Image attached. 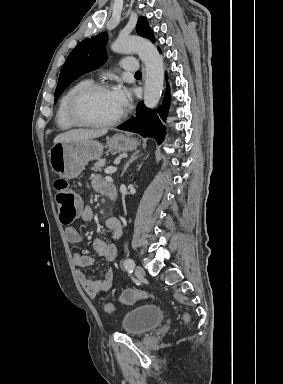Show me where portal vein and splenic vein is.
<instances>
[{
    "mask_svg": "<svg viewBox=\"0 0 283 384\" xmlns=\"http://www.w3.org/2000/svg\"><path fill=\"white\" fill-rule=\"evenodd\" d=\"M104 172L105 174H114V172H117V168H106Z\"/></svg>",
    "mask_w": 283,
    "mask_h": 384,
    "instance_id": "1",
    "label": "portal vein and splenic vein"
}]
</instances>
